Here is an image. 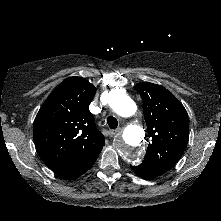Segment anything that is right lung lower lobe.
Here are the masks:
<instances>
[{"instance_id": "98d812e1", "label": "right lung lower lobe", "mask_w": 221, "mask_h": 221, "mask_svg": "<svg viewBox=\"0 0 221 221\" xmlns=\"http://www.w3.org/2000/svg\"><path fill=\"white\" fill-rule=\"evenodd\" d=\"M99 153L100 152L94 154L89 159H87L86 161H84L79 165H76L74 167L65 170H61L57 172V174L65 179H70V180L76 179L82 174H84L86 171H88L94 165Z\"/></svg>"}]
</instances>
